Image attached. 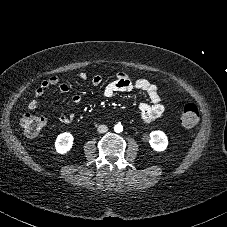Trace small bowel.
Returning a JSON list of instances; mask_svg holds the SVG:
<instances>
[{
  "label": "small bowel",
  "mask_w": 227,
  "mask_h": 227,
  "mask_svg": "<svg viewBox=\"0 0 227 227\" xmlns=\"http://www.w3.org/2000/svg\"><path fill=\"white\" fill-rule=\"evenodd\" d=\"M79 80L85 81L87 74L81 72L78 75ZM91 83L93 86L98 87L102 84V77L99 75L93 76ZM50 87H57L62 93H69L70 87L66 83L59 81L57 76H52L44 81L36 88L33 99L28 103L30 110H35L40 102V99L45 95ZM121 92H145L149 101H141L139 103V110L142 116V121L145 124L152 123L160 118L164 113V106L161 103V98L157 86L148 80L138 79L131 80L126 74L118 73L115 79L105 85L103 93L105 97L111 98L117 93ZM71 99L74 103L81 102V96L77 93L72 94ZM74 114H61L59 122L63 125H70L74 122Z\"/></svg>",
  "instance_id": "small-bowel-1"
}]
</instances>
